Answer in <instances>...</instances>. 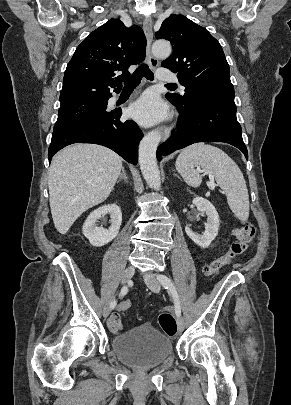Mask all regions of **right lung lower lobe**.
Instances as JSON below:
<instances>
[{
  "instance_id": "98d812e1",
  "label": "right lung lower lobe",
  "mask_w": 291,
  "mask_h": 405,
  "mask_svg": "<svg viewBox=\"0 0 291 405\" xmlns=\"http://www.w3.org/2000/svg\"><path fill=\"white\" fill-rule=\"evenodd\" d=\"M121 115V110H113L55 129L48 151L49 162L56 152L67 145L93 143L112 149L127 162L136 165L138 143L143 133L135 122H121Z\"/></svg>"
}]
</instances>
